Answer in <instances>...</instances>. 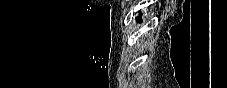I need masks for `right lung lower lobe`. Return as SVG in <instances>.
<instances>
[{
	"label": "right lung lower lobe",
	"mask_w": 227,
	"mask_h": 88,
	"mask_svg": "<svg viewBox=\"0 0 227 88\" xmlns=\"http://www.w3.org/2000/svg\"><path fill=\"white\" fill-rule=\"evenodd\" d=\"M137 20H141V17H140V16H138V17H137Z\"/></svg>",
	"instance_id": "1"
}]
</instances>
